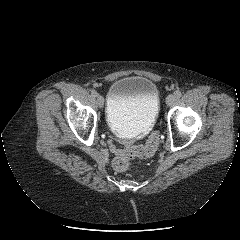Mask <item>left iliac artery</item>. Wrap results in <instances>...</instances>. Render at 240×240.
<instances>
[{
    "label": "left iliac artery",
    "instance_id": "obj_1",
    "mask_svg": "<svg viewBox=\"0 0 240 240\" xmlns=\"http://www.w3.org/2000/svg\"><path fill=\"white\" fill-rule=\"evenodd\" d=\"M175 96H176L177 98L181 97V96H182L181 91H176V92H175Z\"/></svg>",
    "mask_w": 240,
    "mask_h": 240
}]
</instances>
